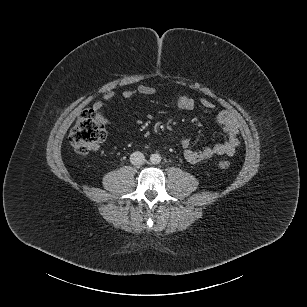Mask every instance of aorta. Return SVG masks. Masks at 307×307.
<instances>
[{
    "instance_id": "obj_1",
    "label": "aorta",
    "mask_w": 307,
    "mask_h": 307,
    "mask_svg": "<svg viewBox=\"0 0 307 307\" xmlns=\"http://www.w3.org/2000/svg\"><path fill=\"white\" fill-rule=\"evenodd\" d=\"M150 162L152 164H159L161 162V155L158 153H154L150 156Z\"/></svg>"
}]
</instances>
